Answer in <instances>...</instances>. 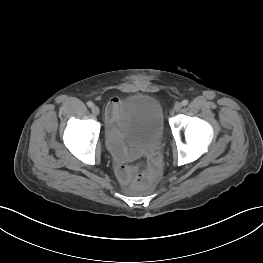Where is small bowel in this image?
<instances>
[{
    "label": "small bowel",
    "instance_id": "obj_1",
    "mask_svg": "<svg viewBox=\"0 0 263 263\" xmlns=\"http://www.w3.org/2000/svg\"><path fill=\"white\" fill-rule=\"evenodd\" d=\"M122 102L118 97H113L106 109V123L108 131V143L116 162V173L123 184H128L138 172L136 167L127 163L137 159L140 155L136 152L125 150L119 143L115 124L119 121ZM157 156L151 155V159ZM158 158V157H157Z\"/></svg>",
    "mask_w": 263,
    "mask_h": 263
}]
</instances>
